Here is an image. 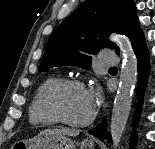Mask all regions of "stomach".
<instances>
[{
    "instance_id": "stomach-1",
    "label": "stomach",
    "mask_w": 155,
    "mask_h": 149,
    "mask_svg": "<svg viewBox=\"0 0 155 149\" xmlns=\"http://www.w3.org/2000/svg\"><path fill=\"white\" fill-rule=\"evenodd\" d=\"M94 149L92 140L84 139L76 143L66 135L40 133L30 140L18 141L13 145L16 149Z\"/></svg>"
}]
</instances>
